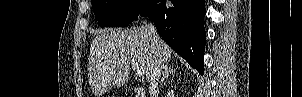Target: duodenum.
I'll list each match as a JSON object with an SVG mask.
<instances>
[{"label":"duodenum","mask_w":302,"mask_h":97,"mask_svg":"<svg viewBox=\"0 0 302 97\" xmlns=\"http://www.w3.org/2000/svg\"><path fill=\"white\" fill-rule=\"evenodd\" d=\"M134 97H146V93L142 88H134Z\"/></svg>","instance_id":"duodenum-1"}]
</instances>
